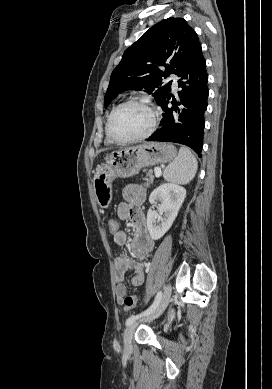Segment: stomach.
Masks as SVG:
<instances>
[{"mask_svg": "<svg viewBox=\"0 0 272 389\" xmlns=\"http://www.w3.org/2000/svg\"><path fill=\"white\" fill-rule=\"evenodd\" d=\"M177 151L172 144L148 142L112 152L106 163L96 168L93 188L100 208L106 209L112 201V182L116 178H128L140 169L172 161Z\"/></svg>", "mask_w": 272, "mask_h": 389, "instance_id": "obj_1", "label": "stomach"}]
</instances>
